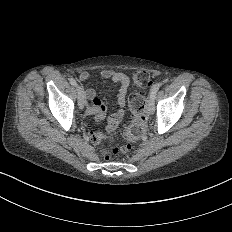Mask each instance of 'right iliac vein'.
<instances>
[{
  "label": "right iliac vein",
  "instance_id": "1",
  "mask_svg": "<svg viewBox=\"0 0 232 232\" xmlns=\"http://www.w3.org/2000/svg\"><path fill=\"white\" fill-rule=\"evenodd\" d=\"M77 97H78V105H79L78 109H79V112H81L80 110L83 109L82 105H83V100H84V97H85L84 86L83 87L79 86Z\"/></svg>",
  "mask_w": 232,
  "mask_h": 232
}]
</instances>
